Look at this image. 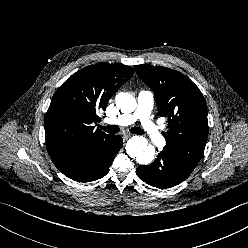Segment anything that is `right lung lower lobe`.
Segmentation results:
<instances>
[{"instance_id": "obj_1", "label": "right lung lower lobe", "mask_w": 248, "mask_h": 248, "mask_svg": "<svg viewBox=\"0 0 248 248\" xmlns=\"http://www.w3.org/2000/svg\"><path fill=\"white\" fill-rule=\"evenodd\" d=\"M122 144L121 136L107 135L54 164L64 175L75 181H94L108 173Z\"/></svg>"}]
</instances>
